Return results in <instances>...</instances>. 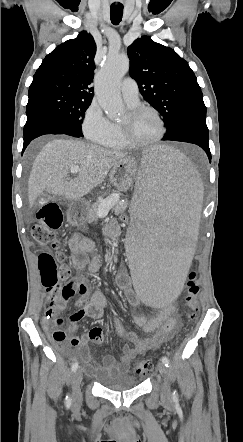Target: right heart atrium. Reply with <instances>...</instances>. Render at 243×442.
<instances>
[{"mask_svg":"<svg viewBox=\"0 0 243 442\" xmlns=\"http://www.w3.org/2000/svg\"><path fill=\"white\" fill-rule=\"evenodd\" d=\"M82 132L92 142H101L111 131V122L105 116L97 101L87 107L82 120Z\"/></svg>","mask_w":243,"mask_h":442,"instance_id":"1","label":"right heart atrium"}]
</instances>
